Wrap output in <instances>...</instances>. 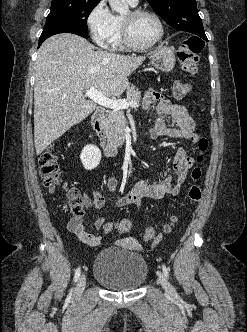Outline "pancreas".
Masks as SVG:
<instances>
[{"instance_id": "1", "label": "pancreas", "mask_w": 247, "mask_h": 332, "mask_svg": "<svg viewBox=\"0 0 247 332\" xmlns=\"http://www.w3.org/2000/svg\"><path fill=\"white\" fill-rule=\"evenodd\" d=\"M126 99L128 101H136L139 105L141 93L135 86L128 87ZM126 127L127 121L122 109L109 111L103 122L104 133L115 147L123 145Z\"/></svg>"}]
</instances>
